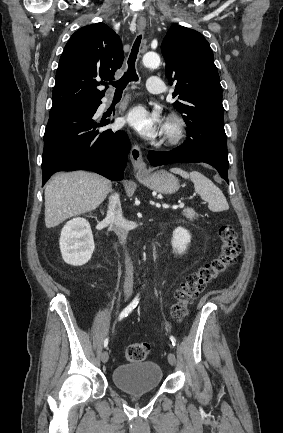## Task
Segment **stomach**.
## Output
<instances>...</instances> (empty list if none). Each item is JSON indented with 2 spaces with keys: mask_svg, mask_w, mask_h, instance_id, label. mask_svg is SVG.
<instances>
[{
  "mask_svg": "<svg viewBox=\"0 0 283 433\" xmlns=\"http://www.w3.org/2000/svg\"><path fill=\"white\" fill-rule=\"evenodd\" d=\"M141 182L151 188V190H156V192H163V194H172L178 190L180 184L178 178L174 174H170L167 170H156V172H151V174H142L138 172Z\"/></svg>",
  "mask_w": 283,
  "mask_h": 433,
  "instance_id": "1",
  "label": "stomach"
}]
</instances>
